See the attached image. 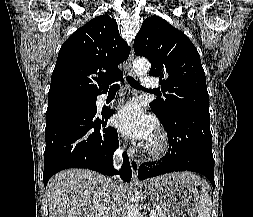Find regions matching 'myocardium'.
I'll return each mask as SVG.
<instances>
[{
	"mask_svg": "<svg viewBox=\"0 0 253 217\" xmlns=\"http://www.w3.org/2000/svg\"><path fill=\"white\" fill-rule=\"evenodd\" d=\"M147 153L153 157H160L168 150V139L163 131H158L154 139L145 146Z\"/></svg>",
	"mask_w": 253,
	"mask_h": 217,
	"instance_id": "myocardium-1",
	"label": "myocardium"
}]
</instances>
